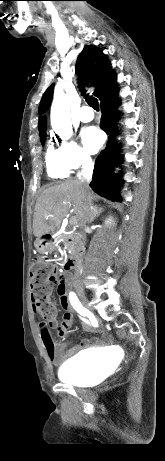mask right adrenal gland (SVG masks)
I'll list each match as a JSON object with an SVG mask.
<instances>
[{
	"instance_id": "2a0ac1e0",
	"label": "right adrenal gland",
	"mask_w": 165,
	"mask_h": 461,
	"mask_svg": "<svg viewBox=\"0 0 165 461\" xmlns=\"http://www.w3.org/2000/svg\"><path fill=\"white\" fill-rule=\"evenodd\" d=\"M102 212H103V208L102 207H97V205H95L94 206L93 220L96 219Z\"/></svg>"
}]
</instances>
